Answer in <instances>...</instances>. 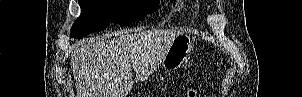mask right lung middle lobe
<instances>
[{
    "label": "right lung middle lobe",
    "mask_w": 302,
    "mask_h": 97,
    "mask_svg": "<svg viewBox=\"0 0 302 97\" xmlns=\"http://www.w3.org/2000/svg\"><path fill=\"white\" fill-rule=\"evenodd\" d=\"M81 15L73 24L71 38H81L100 31L110 23L126 25L137 22L153 12L159 2L146 0H78Z\"/></svg>",
    "instance_id": "right-lung-middle-lobe-1"
}]
</instances>
